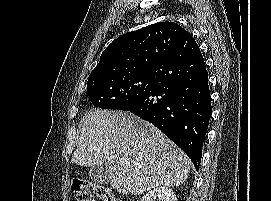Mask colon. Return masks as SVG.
Returning <instances> with one entry per match:
<instances>
[{"mask_svg":"<svg viewBox=\"0 0 271 201\" xmlns=\"http://www.w3.org/2000/svg\"><path fill=\"white\" fill-rule=\"evenodd\" d=\"M77 201H95L94 195L101 201H122L111 188L86 179H75L72 184Z\"/></svg>","mask_w":271,"mask_h":201,"instance_id":"1","label":"colon"}]
</instances>
